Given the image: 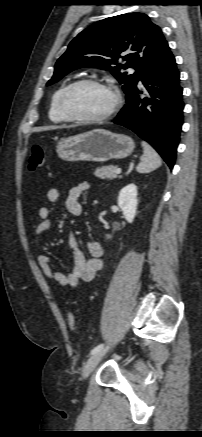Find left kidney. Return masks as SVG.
<instances>
[{
    "instance_id": "obj_1",
    "label": "left kidney",
    "mask_w": 202,
    "mask_h": 437,
    "mask_svg": "<svg viewBox=\"0 0 202 437\" xmlns=\"http://www.w3.org/2000/svg\"><path fill=\"white\" fill-rule=\"evenodd\" d=\"M137 205V186L133 183L128 184L120 190L118 196V206L121 208L124 218L128 223L133 222ZM107 237H109V235Z\"/></svg>"
}]
</instances>
